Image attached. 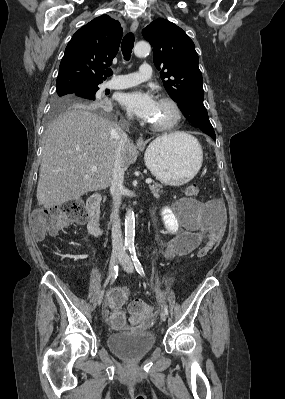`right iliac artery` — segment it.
Wrapping results in <instances>:
<instances>
[{
  "label": "right iliac artery",
  "instance_id": "82829eb1",
  "mask_svg": "<svg viewBox=\"0 0 285 399\" xmlns=\"http://www.w3.org/2000/svg\"><path fill=\"white\" fill-rule=\"evenodd\" d=\"M124 251H125V250H124ZM117 273H118V265L114 266L112 275H115V274H117ZM109 279H110V278H108V279L105 281L103 287H105V286L107 285Z\"/></svg>",
  "mask_w": 285,
  "mask_h": 399
}]
</instances>
